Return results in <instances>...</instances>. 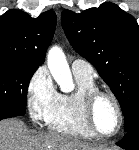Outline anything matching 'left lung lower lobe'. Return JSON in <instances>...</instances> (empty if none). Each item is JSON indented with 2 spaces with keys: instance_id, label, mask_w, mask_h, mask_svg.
I'll return each mask as SVG.
<instances>
[{
  "instance_id": "obj_1",
  "label": "left lung lower lobe",
  "mask_w": 139,
  "mask_h": 150,
  "mask_svg": "<svg viewBox=\"0 0 139 150\" xmlns=\"http://www.w3.org/2000/svg\"><path fill=\"white\" fill-rule=\"evenodd\" d=\"M116 144L126 150H139V128L128 130L123 139Z\"/></svg>"
}]
</instances>
